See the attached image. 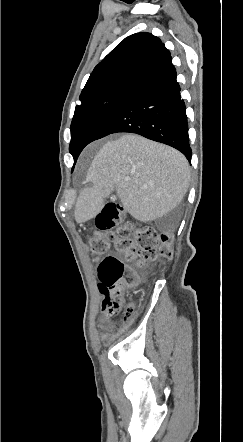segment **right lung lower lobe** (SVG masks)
Returning <instances> with one entry per match:
<instances>
[{"label": "right lung lower lobe", "instance_id": "98d812e1", "mask_svg": "<svg viewBox=\"0 0 243 442\" xmlns=\"http://www.w3.org/2000/svg\"><path fill=\"white\" fill-rule=\"evenodd\" d=\"M171 65L132 90L106 117L91 142L112 133H137L191 159L184 100Z\"/></svg>", "mask_w": 243, "mask_h": 442}]
</instances>
